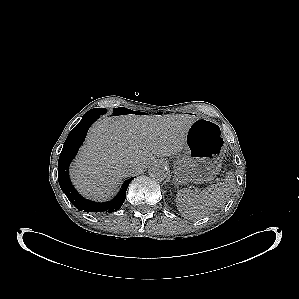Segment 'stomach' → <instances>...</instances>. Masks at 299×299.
Returning <instances> with one entry per match:
<instances>
[{"label": "stomach", "instance_id": "0dacf381", "mask_svg": "<svg viewBox=\"0 0 299 299\" xmlns=\"http://www.w3.org/2000/svg\"><path fill=\"white\" fill-rule=\"evenodd\" d=\"M225 150L219 125L206 118H197L186 134L182 157L174 164L175 174L184 182L203 183L220 172L219 158Z\"/></svg>", "mask_w": 299, "mask_h": 299}]
</instances>
